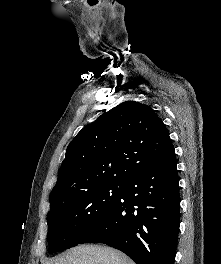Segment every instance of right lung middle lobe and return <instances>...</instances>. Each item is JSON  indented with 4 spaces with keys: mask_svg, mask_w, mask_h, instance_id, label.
<instances>
[{
    "mask_svg": "<svg viewBox=\"0 0 221 264\" xmlns=\"http://www.w3.org/2000/svg\"><path fill=\"white\" fill-rule=\"evenodd\" d=\"M124 183H108L67 197L47 215L49 252L74 247L112 211Z\"/></svg>",
    "mask_w": 221,
    "mask_h": 264,
    "instance_id": "1",
    "label": "right lung middle lobe"
}]
</instances>
